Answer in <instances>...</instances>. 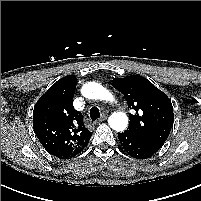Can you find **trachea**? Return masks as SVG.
<instances>
[{"label":"trachea","mask_w":201,"mask_h":201,"mask_svg":"<svg viewBox=\"0 0 201 201\" xmlns=\"http://www.w3.org/2000/svg\"><path fill=\"white\" fill-rule=\"evenodd\" d=\"M101 114L100 111L97 107H92L90 109V118L92 119V121H95L96 119L100 118Z\"/></svg>","instance_id":"3493384b"}]
</instances>
